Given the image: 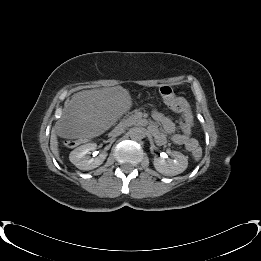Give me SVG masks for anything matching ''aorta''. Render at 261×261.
I'll return each instance as SVG.
<instances>
[{"label":"aorta","instance_id":"1","mask_svg":"<svg viewBox=\"0 0 261 261\" xmlns=\"http://www.w3.org/2000/svg\"><path fill=\"white\" fill-rule=\"evenodd\" d=\"M130 137L133 140H141L143 137V133L140 128H134L130 131Z\"/></svg>","mask_w":261,"mask_h":261}]
</instances>
